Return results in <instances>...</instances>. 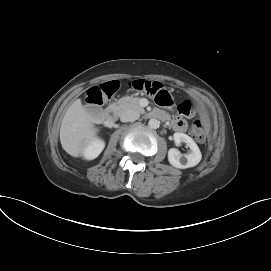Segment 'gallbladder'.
Returning <instances> with one entry per match:
<instances>
[{
  "label": "gallbladder",
  "instance_id": "obj_1",
  "mask_svg": "<svg viewBox=\"0 0 271 271\" xmlns=\"http://www.w3.org/2000/svg\"><path fill=\"white\" fill-rule=\"evenodd\" d=\"M87 110H88L89 114L92 116V118L95 121L103 119L102 110H101L100 107H98V106H91V107H88Z\"/></svg>",
  "mask_w": 271,
  "mask_h": 271
}]
</instances>
